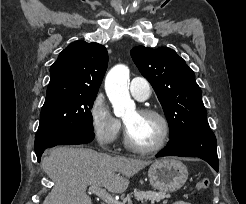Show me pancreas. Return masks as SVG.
I'll list each match as a JSON object with an SVG mask.
<instances>
[{
  "label": "pancreas",
  "mask_w": 246,
  "mask_h": 204,
  "mask_svg": "<svg viewBox=\"0 0 246 204\" xmlns=\"http://www.w3.org/2000/svg\"><path fill=\"white\" fill-rule=\"evenodd\" d=\"M133 194L141 202L151 201V203L159 202L162 199L170 197V194H167L164 191L155 192V191H137V190H134ZM131 197H132L131 195H127V197L125 199H123L122 204H126V203L132 204Z\"/></svg>",
  "instance_id": "obj_1"
}]
</instances>
